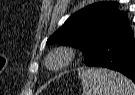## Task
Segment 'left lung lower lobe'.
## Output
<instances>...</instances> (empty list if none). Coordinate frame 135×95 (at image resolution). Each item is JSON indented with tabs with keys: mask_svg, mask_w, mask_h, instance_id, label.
I'll return each instance as SVG.
<instances>
[{
	"mask_svg": "<svg viewBox=\"0 0 135 95\" xmlns=\"http://www.w3.org/2000/svg\"><path fill=\"white\" fill-rule=\"evenodd\" d=\"M135 40L131 27L106 36L87 66L105 67L121 72L135 83Z\"/></svg>",
	"mask_w": 135,
	"mask_h": 95,
	"instance_id": "1",
	"label": "left lung lower lobe"
}]
</instances>
